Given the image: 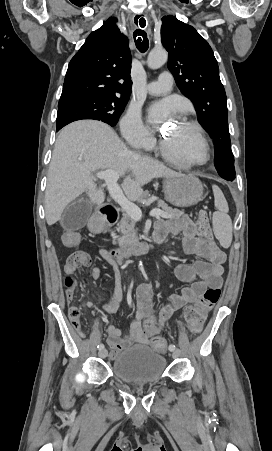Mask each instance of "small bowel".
Segmentation results:
<instances>
[{
    "mask_svg": "<svg viewBox=\"0 0 272 451\" xmlns=\"http://www.w3.org/2000/svg\"><path fill=\"white\" fill-rule=\"evenodd\" d=\"M202 230L198 224H194L188 216H182L175 220H159L155 226L154 237H159L162 241L167 235L175 237L182 236V247L186 254H194L198 259L191 264H181L175 267V275L189 285L182 288L180 294L169 296L162 305L157 317L153 319V291L149 284L139 287L137 293V306L130 319L128 333L121 337L120 330L109 325L107 327V344L111 347L109 358L116 360L122 351L132 344H146L159 337L165 324L169 321L176 310L185 308L195 302L207 288H219L222 285L223 264L226 260L225 253L217 245H204ZM88 262V261H87ZM76 270H69L70 275ZM102 274L100 267H93L88 277L83 278V284L88 286L89 279H98ZM75 288L70 295L66 294V299L70 306L69 311H79L73 305L75 299ZM122 298L120 279L116 278V288L110 299L101 308L107 313H116ZM151 321L152 324L142 326V321Z\"/></svg>",
    "mask_w": 272,
    "mask_h": 451,
    "instance_id": "c3829d8e",
    "label": "small bowel"
}]
</instances>
